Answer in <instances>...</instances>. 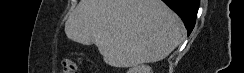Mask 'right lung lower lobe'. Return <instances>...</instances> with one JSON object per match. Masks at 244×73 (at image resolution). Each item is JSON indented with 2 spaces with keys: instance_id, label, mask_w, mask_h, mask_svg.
<instances>
[{
  "instance_id": "obj_1",
  "label": "right lung lower lobe",
  "mask_w": 244,
  "mask_h": 73,
  "mask_svg": "<svg viewBox=\"0 0 244 73\" xmlns=\"http://www.w3.org/2000/svg\"><path fill=\"white\" fill-rule=\"evenodd\" d=\"M183 20L188 35L192 32L200 0H162Z\"/></svg>"
}]
</instances>
